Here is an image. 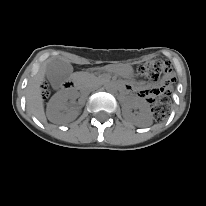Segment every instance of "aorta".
Returning a JSON list of instances; mask_svg holds the SVG:
<instances>
[{"label":"aorta","instance_id":"762f6f07","mask_svg":"<svg viewBox=\"0 0 206 206\" xmlns=\"http://www.w3.org/2000/svg\"><path fill=\"white\" fill-rule=\"evenodd\" d=\"M105 89H106V91L112 93V92H115L116 87L114 84L108 83V84H106Z\"/></svg>","mask_w":206,"mask_h":206}]
</instances>
